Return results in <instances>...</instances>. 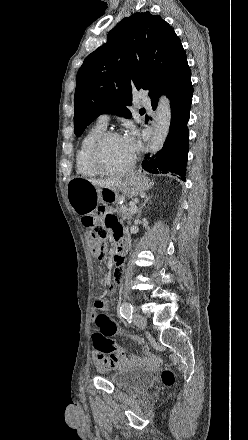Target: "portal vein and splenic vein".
<instances>
[{
  "label": "portal vein and splenic vein",
  "instance_id": "1",
  "mask_svg": "<svg viewBox=\"0 0 248 440\" xmlns=\"http://www.w3.org/2000/svg\"><path fill=\"white\" fill-rule=\"evenodd\" d=\"M129 211L131 213H136L138 211V207L136 205H131V207L129 208Z\"/></svg>",
  "mask_w": 248,
  "mask_h": 440
}]
</instances>
